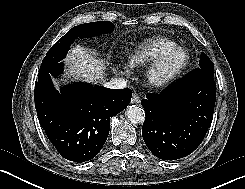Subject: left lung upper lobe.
<instances>
[{
    "instance_id": "obj_1",
    "label": "left lung upper lobe",
    "mask_w": 245,
    "mask_h": 189,
    "mask_svg": "<svg viewBox=\"0 0 245 189\" xmlns=\"http://www.w3.org/2000/svg\"><path fill=\"white\" fill-rule=\"evenodd\" d=\"M198 68L206 70L214 75V64L203 52L201 53V58L199 61Z\"/></svg>"
}]
</instances>
